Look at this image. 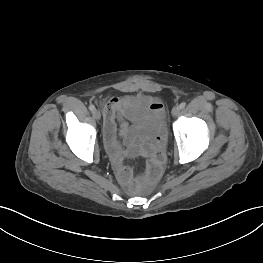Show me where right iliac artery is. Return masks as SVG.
Masks as SVG:
<instances>
[{
	"mask_svg": "<svg viewBox=\"0 0 263 263\" xmlns=\"http://www.w3.org/2000/svg\"><path fill=\"white\" fill-rule=\"evenodd\" d=\"M89 110L92 111V112H94V111H95V106L91 104V105L89 106Z\"/></svg>",
	"mask_w": 263,
	"mask_h": 263,
	"instance_id": "obj_1",
	"label": "right iliac artery"
}]
</instances>
